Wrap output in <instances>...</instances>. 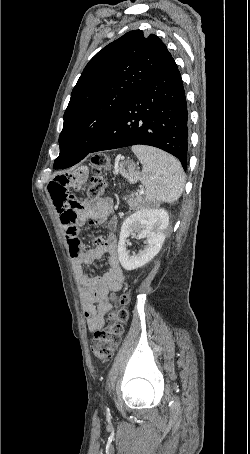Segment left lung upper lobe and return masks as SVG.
Here are the masks:
<instances>
[{
	"label": "left lung upper lobe",
	"mask_w": 250,
	"mask_h": 454,
	"mask_svg": "<svg viewBox=\"0 0 250 454\" xmlns=\"http://www.w3.org/2000/svg\"><path fill=\"white\" fill-rule=\"evenodd\" d=\"M171 58L156 35L142 30L130 31L100 50L71 93L59 157L87 155L124 105Z\"/></svg>",
	"instance_id": "5c2ea615"
}]
</instances>
